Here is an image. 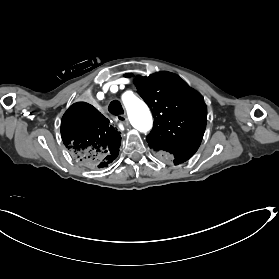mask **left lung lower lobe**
<instances>
[{
  "mask_svg": "<svg viewBox=\"0 0 279 279\" xmlns=\"http://www.w3.org/2000/svg\"><path fill=\"white\" fill-rule=\"evenodd\" d=\"M171 156L174 160V164L178 165L180 163L187 161L192 155H190V154H173Z\"/></svg>",
  "mask_w": 279,
  "mask_h": 279,
  "instance_id": "0a47b994",
  "label": "left lung lower lobe"
}]
</instances>
